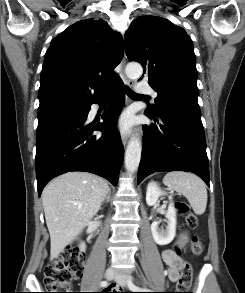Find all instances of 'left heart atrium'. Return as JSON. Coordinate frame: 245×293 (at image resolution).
I'll use <instances>...</instances> for the list:
<instances>
[{"label": "left heart atrium", "mask_w": 245, "mask_h": 293, "mask_svg": "<svg viewBox=\"0 0 245 293\" xmlns=\"http://www.w3.org/2000/svg\"><path fill=\"white\" fill-rule=\"evenodd\" d=\"M131 125H132V119L128 115L123 116L119 122V128L122 131H127L131 127Z\"/></svg>", "instance_id": "obj_1"}]
</instances>
